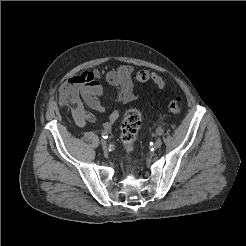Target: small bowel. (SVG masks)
<instances>
[{
	"label": "small bowel",
	"mask_w": 246,
	"mask_h": 246,
	"mask_svg": "<svg viewBox=\"0 0 246 246\" xmlns=\"http://www.w3.org/2000/svg\"><path fill=\"white\" fill-rule=\"evenodd\" d=\"M133 68L129 65H121L117 69L101 72L97 69L87 70L68 80L60 91L59 101L63 106H69L75 122L84 126L89 122L95 123L97 119L87 108L106 112L109 107L101 102L104 90L99 82L104 78L108 84L115 88L116 94L112 98L114 102L128 104L137 99L133 91ZM119 118V111L112 109L107 121L101 123L106 131H110Z\"/></svg>",
	"instance_id": "obj_1"
}]
</instances>
